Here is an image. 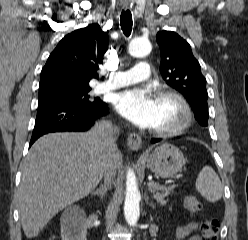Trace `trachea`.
I'll list each match as a JSON object with an SVG mask.
<instances>
[{"label":"trachea","instance_id":"1","mask_svg":"<svg viewBox=\"0 0 248 240\" xmlns=\"http://www.w3.org/2000/svg\"><path fill=\"white\" fill-rule=\"evenodd\" d=\"M120 25L121 29L123 30V33L126 37L130 36L131 31H132V14L130 10L122 11L121 16H120Z\"/></svg>","mask_w":248,"mask_h":240}]
</instances>
